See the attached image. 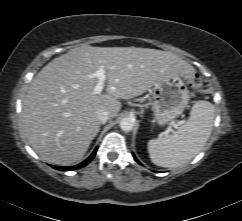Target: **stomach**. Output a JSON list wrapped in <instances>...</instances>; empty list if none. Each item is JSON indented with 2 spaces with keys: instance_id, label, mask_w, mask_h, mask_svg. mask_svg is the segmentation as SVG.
I'll return each mask as SVG.
<instances>
[{
  "instance_id": "obj_1",
  "label": "stomach",
  "mask_w": 242,
  "mask_h": 221,
  "mask_svg": "<svg viewBox=\"0 0 242 221\" xmlns=\"http://www.w3.org/2000/svg\"><path fill=\"white\" fill-rule=\"evenodd\" d=\"M154 118L165 125L181 115L189 100V90L183 76H169L157 81L152 88Z\"/></svg>"
}]
</instances>
